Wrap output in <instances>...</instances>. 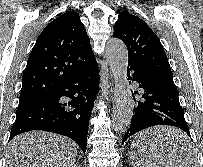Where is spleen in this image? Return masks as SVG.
I'll return each mask as SVG.
<instances>
[{
    "mask_svg": "<svg viewBox=\"0 0 203 167\" xmlns=\"http://www.w3.org/2000/svg\"><path fill=\"white\" fill-rule=\"evenodd\" d=\"M183 142L186 143L190 148L188 137L184 136ZM137 152L141 153V156L139 154H135ZM187 156L188 160H186L183 165H179L178 167H196L194 166L196 161L193 153L190 152ZM130 158L133 167H168V165H163L152 152L142 147L141 144L137 143V140L132 144Z\"/></svg>",
    "mask_w": 203,
    "mask_h": 167,
    "instance_id": "obj_1",
    "label": "spleen"
}]
</instances>
